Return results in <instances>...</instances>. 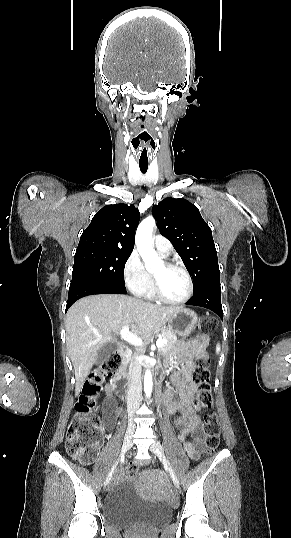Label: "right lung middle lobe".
I'll return each instance as SVG.
<instances>
[{"instance_id": "obj_1", "label": "right lung middle lobe", "mask_w": 291, "mask_h": 538, "mask_svg": "<svg viewBox=\"0 0 291 538\" xmlns=\"http://www.w3.org/2000/svg\"><path fill=\"white\" fill-rule=\"evenodd\" d=\"M131 253L102 248L76 251L70 288L88 284L125 288L124 266Z\"/></svg>"}]
</instances>
